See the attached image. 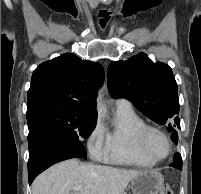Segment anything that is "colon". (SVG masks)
<instances>
[{
    "mask_svg": "<svg viewBox=\"0 0 201 194\" xmlns=\"http://www.w3.org/2000/svg\"><path fill=\"white\" fill-rule=\"evenodd\" d=\"M159 194H173V191L171 190L170 187L165 186V187L160 191Z\"/></svg>",
    "mask_w": 201,
    "mask_h": 194,
    "instance_id": "obj_1",
    "label": "colon"
}]
</instances>
